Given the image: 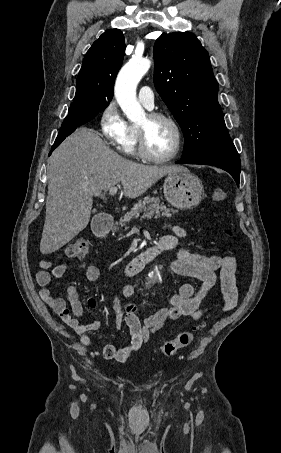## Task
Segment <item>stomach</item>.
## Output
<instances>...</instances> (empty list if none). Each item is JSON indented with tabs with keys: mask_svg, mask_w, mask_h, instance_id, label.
Instances as JSON below:
<instances>
[{
	"mask_svg": "<svg viewBox=\"0 0 281 453\" xmlns=\"http://www.w3.org/2000/svg\"><path fill=\"white\" fill-rule=\"evenodd\" d=\"M164 196L176 208H194L204 196L203 184L193 172H169L163 184Z\"/></svg>",
	"mask_w": 281,
	"mask_h": 453,
	"instance_id": "1",
	"label": "stomach"
}]
</instances>
